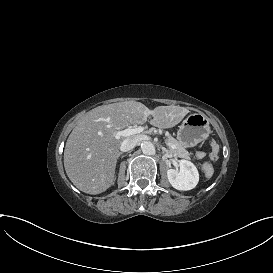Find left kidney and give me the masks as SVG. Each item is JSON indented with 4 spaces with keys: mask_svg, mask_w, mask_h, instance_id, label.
<instances>
[{
    "mask_svg": "<svg viewBox=\"0 0 273 273\" xmlns=\"http://www.w3.org/2000/svg\"><path fill=\"white\" fill-rule=\"evenodd\" d=\"M167 178L173 188L189 191L197 185L199 176L193 163L179 160L177 170L172 167L167 170Z\"/></svg>",
    "mask_w": 273,
    "mask_h": 273,
    "instance_id": "5707ae66",
    "label": "left kidney"
}]
</instances>
